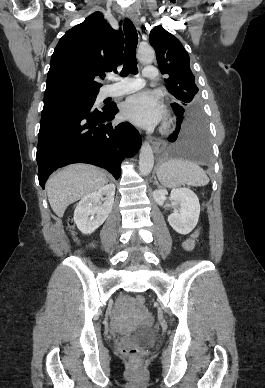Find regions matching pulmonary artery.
<instances>
[{"label": "pulmonary artery", "mask_w": 265, "mask_h": 388, "mask_svg": "<svg viewBox=\"0 0 265 388\" xmlns=\"http://www.w3.org/2000/svg\"><path fill=\"white\" fill-rule=\"evenodd\" d=\"M156 66L155 64H146L145 66V77L149 82H154L156 80ZM115 80L119 83L113 84V89L116 91H113L112 94L114 95H123L125 93L129 94H136L141 88L142 84L146 83L143 82L141 79H133L132 75H117L115 77ZM130 82V83H128Z\"/></svg>", "instance_id": "e3ab8cb5"}]
</instances>
